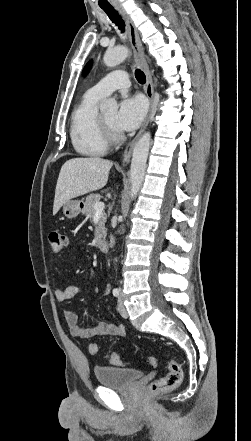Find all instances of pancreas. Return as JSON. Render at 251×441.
<instances>
[{"instance_id":"1","label":"pancreas","mask_w":251,"mask_h":441,"mask_svg":"<svg viewBox=\"0 0 251 441\" xmlns=\"http://www.w3.org/2000/svg\"><path fill=\"white\" fill-rule=\"evenodd\" d=\"M101 196L99 194H90L86 197L85 203H84V210L83 213L87 218H89L91 221L93 219V216L95 214L94 204L96 202L100 201ZM106 214L102 213L98 222V225L95 230V236L98 239H101L105 236V222H106Z\"/></svg>"}]
</instances>
